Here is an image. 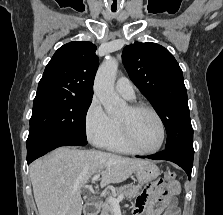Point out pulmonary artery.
<instances>
[{
  "label": "pulmonary artery",
  "instance_id": "e3ab8cb5",
  "mask_svg": "<svg viewBox=\"0 0 223 215\" xmlns=\"http://www.w3.org/2000/svg\"><path fill=\"white\" fill-rule=\"evenodd\" d=\"M115 90L128 100H133L135 98L133 84L126 77H120L117 79L115 83Z\"/></svg>",
  "mask_w": 223,
  "mask_h": 215
}]
</instances>
